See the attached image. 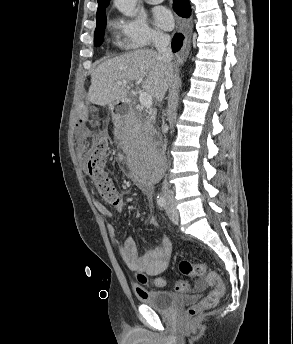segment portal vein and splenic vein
Listing matches in <instances>:
<instances>
[{"instance_id":"obj_1","label":"portal vein and splenic vein","mask_w":293,"mask_h":344,"mask_svg":"<svg viewBox=\"0 0 293 344\" xmlns=\"http://www.w3.org/2000/svg\"><path fill=\"white\" fill-rule=\"evenodd\" d=\"M117 84L118 85H127V81L126 80L118 81ZM139 101H140V104L147 109H150L152 106V97L147 92H142L140 94Z\"/></svg>"}]
</instances>
